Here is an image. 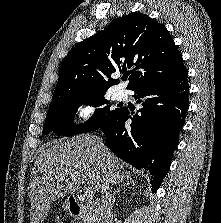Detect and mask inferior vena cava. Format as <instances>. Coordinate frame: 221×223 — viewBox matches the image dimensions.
Here are the masks:
<instances>
[{"label": "inferior vena cava", "instance_id": "inferior-vena-cava-1", "mask_svg": "<svg viewBox=\"0 0 221 223\" xmlns=\"http://www.w3.org/2000/svg\"><path fill=\"white\" fill-rule=\"evenodd\" d=\"M98 147L103 148V141L101 138L97 139ZM109 180L104 178V182L101 187V217L102 223H112V203L111 194L109 188Z\"/></svg>", "mask_w": 221, "mask_h": 223}]
</instances>
